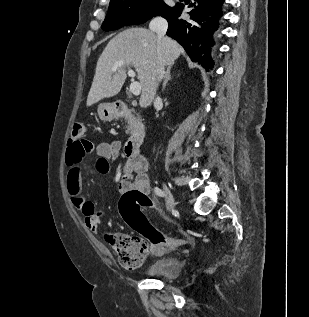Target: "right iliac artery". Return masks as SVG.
Instances as JSON below:
<instances>
[{
    "label": "right iliac artery",
    "mask_w": 309,
    "mask_h": 317,
    "mask_svg": "<svg viewBox=\"0 0 309 317\" xmlns=\"http://www.w3.org/2000/svg\"><path fill=\"white\" fill-rule=\"evenodd\" d=\"M154 192H155L156 195H158L160 197H164L165 196V193L158 187L154 188Z\"/></svg>",
    "instance_id": "82829eb1"
}]
</instances>
